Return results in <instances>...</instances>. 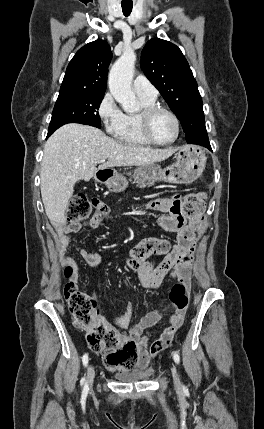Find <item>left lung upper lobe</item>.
Returning <instances> with one entry per match:
<instances>
[{
  "label": "left lung upper lobe",
  "mask_w": 264,
  "mask_h": 429,
  "mask_svg": "<svg viewBox=\"0 0 264 429\" xmlns=\"http://www.w3.org/2000/svg\"><path fill=\"white\" fill-rule=\"evenodd\" d=\"M140 65L179 118L187 143H208L202 99L181 50L166 40L151 39L142 51Z\"/></svg>",
  "instance_id": "5c2ea615"
}]
</instances>
